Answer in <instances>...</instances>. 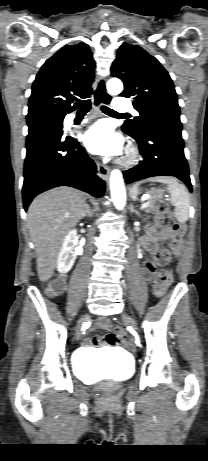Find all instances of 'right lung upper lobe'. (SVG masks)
I'll return each mask as SVG.
<instances>
[{
	"instance_id": "right-lung-upper-lobe-1",
	"label": "right lung upper lobe",
	"mask_w": 208,
	"mask_h": 461,
	"mask_svg": "<svg viewBox=\"0 0 208 461\" xmlns=\"http://www.w3.org/2000/svg\"><path fill=\"white\" fill-rule=\"evenodd\" d=\"M95 61L88 45H67L41 67L32 86L27 118H64L76 109L71 103L93 91Z\"/></svg>"
}]
</instances>
